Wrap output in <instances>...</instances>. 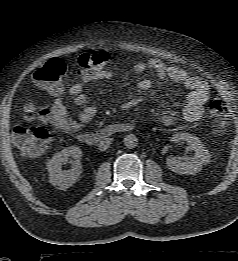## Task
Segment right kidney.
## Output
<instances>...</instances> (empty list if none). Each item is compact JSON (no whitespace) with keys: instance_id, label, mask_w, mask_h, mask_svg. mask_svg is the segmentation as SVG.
I'll return each mask as SVG.
<instances>
[{"instance_id":"right-kidney-1","label":"right kidney","mask_w":238,"mask_h":261,"mask_svg":"<svg viewBox=\"0 0 238 261\" xmlns=\"http://www.w3.org/2000/svg\"><path fill=\"white\" fill-rule=\"evenodd\" d=\"M72 157L73 166L69 170H62V164L68 162ZM82 151L78 146H70L62 151L54 154L47 162L49 172V182L54 186L61 188H69L72 186L82 173V165L80 163Z\"/></svg>"}]
</instances>
